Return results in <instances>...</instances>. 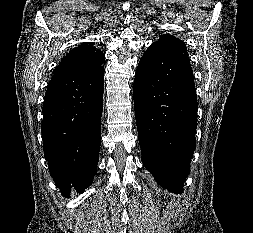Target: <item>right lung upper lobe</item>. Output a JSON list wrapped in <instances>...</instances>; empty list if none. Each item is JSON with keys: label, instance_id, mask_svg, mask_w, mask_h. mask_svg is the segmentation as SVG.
<instances>
[{"label": "right lung upper lobe", "instance_id": "1", "mask_svg": "<svg viewBox=\"0 0 253 233\" xmlns=\"http://www.w3.org/2000/svg\"><path fill=\"white\" fill-rule=\"evenodd\" d=\"M94 43L84 42L72 49L57 66L54 74L85 72L102 66L105 56L100 49H96Z\"/></svg>", "mask_w": 253, "mask_h": 233}]
</instances>
